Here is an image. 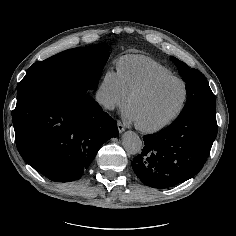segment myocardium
I'll list each match as a JSON object with an SVG mask.
<instances>
[{
	"label": "myocardium",
	"mask_w": 236,
	"mask_h": 236,
	"mask_svg": "<svg viewBox=\"0 0 236 236\" xmlns=\"http://www.w3.org/2000/svg\"><path fill=\"white\" fill-rule=\"evenodd\" d=\"M167 81H179L180 83H182L184 87L183 98H182L179 108L168 119L152 126H144L142 124L135 122L136 128L140 130L141 132H144L147 134L159 132L167 128L168 126L172 125L183 113L187 104V100L189 96V89H188V84L186 83V81L183 78L176 75L161 76V77H157L151 80L150 82H148L147 84H145L144 86H142L141 88H139L138 90H136L135 92L131 94L128 101V107L130 109L131 105L133 104L135 100L146 95L147 93L152 91L155 87Z\"/></svg>",
	"instance_id": "f54148a6"
}]
</instances>
